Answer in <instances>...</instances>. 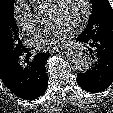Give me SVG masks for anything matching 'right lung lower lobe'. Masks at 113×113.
Masks as SVG:
<instances>
[{
    "mask_svg": "<svg viewBox=\"0 0 113 113\" xmlns=\"http://www.w3.org/2000/svg\"><path fill=\"white\" fill-rule=\"evenodd\" d=\"M28 52L25 48L1 69L0 78L16 96L24 100H34L42 96L47 89L48 76L45 64L50 54L40 53L30 58L31 54Z\"/></svg>",
    "mask_w": 113,
    "mask_h": 113,
    "instance_id": "obj_1",
    "label": "right lung lower lobe"
}]
</instances>
